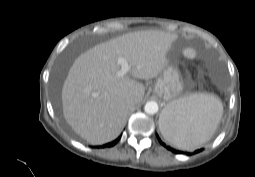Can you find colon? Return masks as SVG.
Returning a JSON list of instances; mask_svg holds the SVG:
<instances>
[{
  "label": "colon",
  "mask_w": 255,
  "mask_h": 177,
  "mask_svg": "<svg viewBox=\"0 0 255 177\" xmlns=\"http://www.w3.org/2000/svg\"><path fill=\"white\" fill-rule=\"evenodd\" d=\"M188 55H189V56H192V52L189 51V52H188Z\"/></svg>",
  "instance_id": "1"
}]
</instances>
